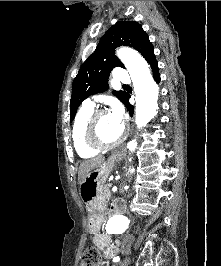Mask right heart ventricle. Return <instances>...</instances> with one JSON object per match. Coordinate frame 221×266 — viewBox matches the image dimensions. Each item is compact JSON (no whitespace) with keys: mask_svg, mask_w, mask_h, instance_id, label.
Wrapping results in <instances>:
<instances>
[{"mask_svg":"<svg viewBox=\"0 0 221 266\" xmlns=\"http://www.w3.org/2000/svg\"><path fill=\"white\" fill-rule=\"evenodd\" d=\"M93 111V108L82 106L74 120L72 140L74 148L81 158H91L99 153L98 149L90 147L85 141L86 123Z\"/></svg>","mask_w":221,"mask_h":266,"instance_id":"right-heart-ventricle-1","label":"right heart ventricle"}]
</instances>
